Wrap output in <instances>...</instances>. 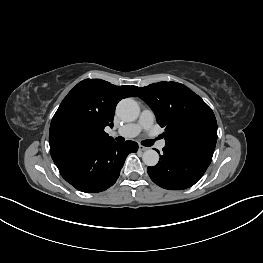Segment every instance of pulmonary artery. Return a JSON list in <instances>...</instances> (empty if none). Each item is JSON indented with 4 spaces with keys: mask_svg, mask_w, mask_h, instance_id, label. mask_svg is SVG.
<instances>
[{
    "mask_svg": "<svg viewBox=\"0 0 263 263\" xmlns=\"http://www.w3.org/2000/svg\"><path fill=\"white\" fill-rule=\"evenodd\" d=\"M154 113L149 109H144L136 123L127 124L117 131L111 132V135H120L126 138L137 136L142 130H150L154 124ZM166 145L165 141H160L158 147L164 148Z\"/></svg>",
    "mask_w": 263,
    "mask_h": 263,
    "instance_id": "1",
    "label": "pulmonary artery"
}]
</instances>
